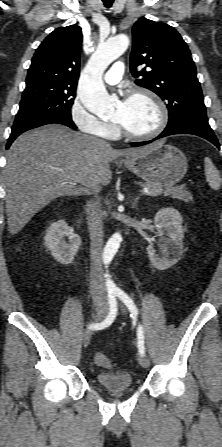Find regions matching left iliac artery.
<instances>
[{
	"label": "left iliac artery",
	"mask_w": 222,
	"mask_h": 447,
	"mask_svg": "<svg viewBox=\"0 0 222 447\" xmlns=\"http://www.w3.org/2000/svg\"><path fill=\"white\" fill-rule=\"evenodd\" d=\"M114 293L128 307L132 316L138 315V309H137L136 305L134 304L133 300L128 296L127 293H125L121 289H117ZM137 337H138L139 352H140V354H144L145 353L144 331H143V327L141 325L138 326Z\"/></svg>",
	"instance_id": "obj_1"
}]
</instances>
